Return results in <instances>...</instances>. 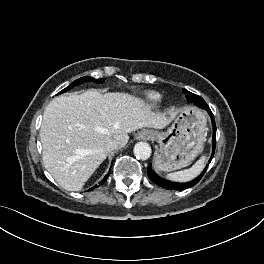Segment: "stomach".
Returning a JSON list of instances; mask_svg holds the SVG:
<instances>
[{"instance_id": "stomach-1", "label": "stomach", "mask_w": 264, "mask_h": 264, "mask_svg": "<svg viewBox=\"0 0 264 264\" xmlns=\"http://www.w3.org/2000/svg\"><path fill=\"white\" fill-rule=\"evenodd\" d=\"M206 128L205 115L194 107L180 110L165 132H153L159 144L155 166L160 171H173L185 167L200 153Z\"/></svg>"}]
</instances>
